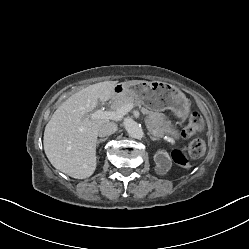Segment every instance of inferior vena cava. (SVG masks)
<instances>
[{
    "label": "inferior vena cava",
    "instance_id": "602c4592",
    "mask_svg": "<svg viewBox=\"0 0 249 249\" xmlns=\"http://www.w3.org/2000/svg\"><path fill=\"white\" fill-rule=\"evenodd\" d=\"M117 131V124L114 122H106L102 124L98 129L99 137L110 136Z\"/></svg>",
    "mask_w": 249,
    "mask_h": 249
}]
</instances>
